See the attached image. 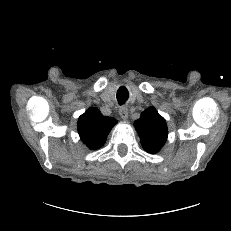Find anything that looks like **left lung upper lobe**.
I'll use <instances>...</instances> for the list:
<instances>
[{"label": "left lung upper lobe", "instance_id": "left-lung-upper-lobe-1", "mask_svg": "<svg viewBox=\"0 0 231 231\" xmlns=\"http://www.w3.org/2000/svg\"><path fill=\"white\" fill-rule=\"evenodd\" d=\"M145 151L155 154L163 147L167 140L168 129L165 119L154 107L141 113V117L134 122Z\"/></svg>", "mask_w": 231, "mask_h": 231}]
</instances>
